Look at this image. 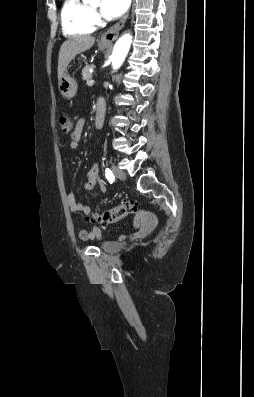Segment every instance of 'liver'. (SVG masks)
Here are the masks:
<instances>
[{
  "label": "liver",
  "instance_id": "1",
  "mask_svg": "<svg viewBox=\"0 0 254 397\" xmlns=\"http://www.w3.org/2000/svg\"><path fill=\"white\" fill-rule=\"evenodd\" d=\"M95 43L90 35H80L64 41L58 57V79L61 78L71 60L79 53L89 50Z\"/></svg>",
  "mask_w": 254,
  "mask_h": 397
}]
</instances>
